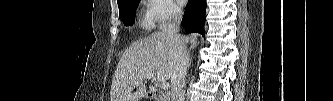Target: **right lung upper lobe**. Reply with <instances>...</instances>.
<instances>
[{
	"mask_svg": "<svg viewBox=\"0 0 333 101\" xmlns=\"http://www.w3.org/2000/svg\"><path fill=\"white\" fill-rule=\"evenodd\" d=\"M122 0H117V3L121 2Z\"/></svg>",
	"mask_w": 333,
	"mask_h": 101,
	"instance_id": "obj_1",
	"label": "right lung upper lobe"
}]
</instances>
